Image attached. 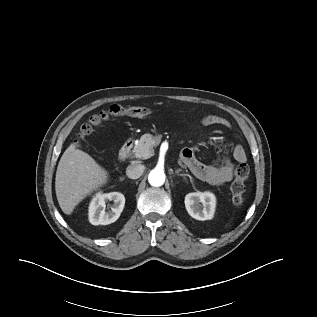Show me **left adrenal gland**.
Masks as SVG:
<instances>
[{
	"mask_svg": "<svg viewBox=\"0 0 317 317\" xmlns=\"http://www.w3.org/2000/svg\"><path fill=\"white\" fill-rule=\"evenodd\" d=\"M181 166L183 167V165H181ZM181 171H182V169H178V170H176L175 173H176L177 175H179V172H181Z\"/></svg>",
	"mask_w": 317,
	"mask_h": 317,
	"instance_id": "left-adrenal-gland-1",
	"label": "left adrenal gland"
}]
</instances>
